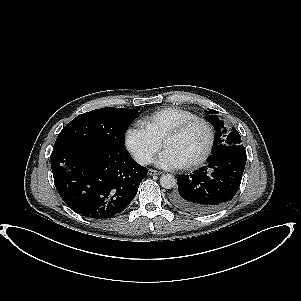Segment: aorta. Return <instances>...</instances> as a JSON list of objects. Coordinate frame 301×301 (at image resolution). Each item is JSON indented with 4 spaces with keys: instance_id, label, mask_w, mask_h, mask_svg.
I'll return each mask as SVG.
<instances>
[{
    "instance_id": "aorta-1",
    "label": "aorta",
    "mask_w": 301,
    "mask_h": 301,
    "mask_svg": "<svg viewBox=\"0 0 301 301\" xmlns=\"http://www.w3.org/2000/svg\"><path fill=\"white\" fill-rule=\"evenodd\" d=\"M160 185L165 189H171L176 186V179L171 174H163L160 178Z\"/></svg>"
}]
</instances>
